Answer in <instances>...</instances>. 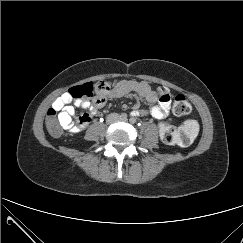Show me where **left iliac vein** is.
Here are the masks:
<instances>
[{
	"label": "left iliac vein",
	"mask_w": 243,
	"mask_h": 243,
	"mask_svg": "<svg viewBox=\"0 0 243 243\" xmlns=\"http://www.w3.org/2000/svg\"><path fill=\"white\" fill-rule=\"evenodd\" d=\"M121 121L126 122V121H127V119H121Z\"/></svg>",
	"instance_id": "obj_1"
}]
</instances>
